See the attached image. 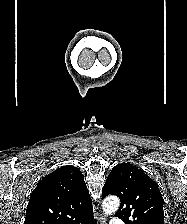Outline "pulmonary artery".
Segmentation results:
<instances>
[{"label":"pulmonary artery","instance_id":"e3ab8cb5","mask_svg":"<svg viewBox=\"0 0 187 224\" xmlns=\"http://www.w3.org/2000/svg\"><path fill=\"white\" fill-rule=\"evenodd\" d=\"M111 224H124V222L120 219H115V220L112 221Z\"/></svg>","mask_w":187,"mask_h":224}]
</instances>
